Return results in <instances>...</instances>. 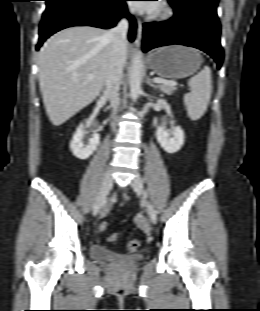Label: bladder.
<instances>
[{
    "instance_id": "31cf9c89",
    "label": "bladder",
    "mask_w": 260,
    "mask_h": 311,
    "mask_svg": "<svg viewBox=\"0 0 260 311\" xmlns=\"http://www.w3.org/2000/svg\"><path fill=\"white\" fill-rule=\"evenodd\" d=\"M89 254L93 260L108 264L119 261L137 263L143 259L140 254L121 255L100 245H91L89 247Z\"/></svg>"
}]
</instances>
